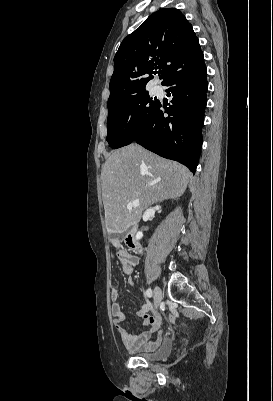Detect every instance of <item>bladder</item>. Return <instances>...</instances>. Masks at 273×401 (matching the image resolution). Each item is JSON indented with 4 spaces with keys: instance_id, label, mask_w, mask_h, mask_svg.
Wrapping results in <instances>:
<instances>
[{
    "instance_id": "31cf9c89",
    "label": "bladder",
    "mask_w": 273,
    "mask_h": 401,
    "mask_svg": "<svg viewBox=\"0 0 273 401\" xmlns=\"http://www.w3.org/2000/svg\"><path fill=\"white\" fill-rule=\"evenodd\" d=\"M174 349V343L170 338H163L158 350L153 353H141L138 356L145 359L146 361H160L168 358Z\"/></svg>"
}]
</instances>
